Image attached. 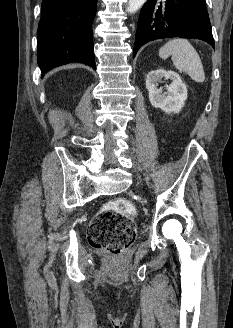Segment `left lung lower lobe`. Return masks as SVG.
I'll use <instances>...</instances> for the list:
<instances>
[{"instance_id":"left-lung-lower-lobe-1","label":"left lung lower lobe","mask_w":233,"mask_h":328,"mask_svg":"<svg viewBox=\"0 0 233 328\" xmlns=\"http://www.w3.org/2000/svg\"><path fill=\"white\" fill-rule=\"evenodd\" d=\"M168 37L197 38L214 47L205 0H148L139 16L133 57L144 43Z\"/></svg>"}]
</instances>
